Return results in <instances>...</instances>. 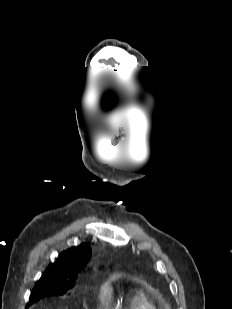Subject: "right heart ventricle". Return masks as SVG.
<instances>
[{
    "label": "right heart ventricle",
    "mask_w": 232,
    "mask_h": 309,
    "mask_svg": "<svg viewBox=\"0 0 232 309\" xmlns=\"http://www.w3.org/2000/svg\"><path fill=\"white\" fill-rule=\"evenodd\" d=\"M106 309H112L115 305H111L109 301L104 304ZM131 309H156L155 306L148 300L146 295L141 291L133 292L130 302Z\"/></svg>",
    "instance_id": "e07e8e85"
}]
</instances>
